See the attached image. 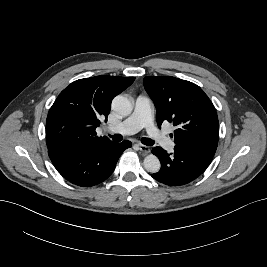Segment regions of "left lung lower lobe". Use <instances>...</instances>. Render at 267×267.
I'll return each instance as SVG.
<instances>
[{"label":"left lung lower lobe","mask_w":267,"mask_h":267,"mask_svg":"<svg viewBox=\"0 0 267 267\" xmlns=\"http://www.w3.org/2000/svg\"><path fill=\"white\" fill-rule=\"evenodd\" d=\"M152 153L161 162V170L152 177L169 186L185 185L195 180L206 170L214 156L183 147H175L173 154H168L161 147H155Z\"/></svg>","instance_id":"left-lung-lower-lobe-1"}]
</instances>
